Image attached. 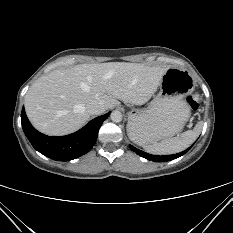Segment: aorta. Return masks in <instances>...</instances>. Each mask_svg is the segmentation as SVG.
<instances>
[{
  "instance_id": "aorta-1",
  "label": "aorta",
  "mask_w": 233,
  "mask_h": 233,
  "mask_svg": "<svg viewBox=\"0 0 233 233\" xmlns=\"http://www.w3.org/2000/svg\"><path fill=\"white\" fill-rule=\"evenodd\" d=\"M111 120L115 123L122 121V113L120 111H113L110 115Z\"/></svg>"
}]
</instances>
